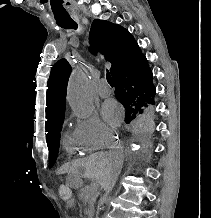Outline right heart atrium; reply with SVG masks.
<instances>
[{
    "label": "right heart atrium",
    "instance_id": "d8ad5b80",
    "mask_svg": "<svg viewBox=\"0 0 211 218\" xmlns=\"http://www.w3.org/2000/svg\"><path fill=\"white\" fill-rule=\"evenodd\" d=\"M73 135L79 143L93 149L108 145L113 137L108 127L94 113L76 118Z\"/></svg>",
    "mask_w": 211,
    "mask_h": 218
}]
</instances>
